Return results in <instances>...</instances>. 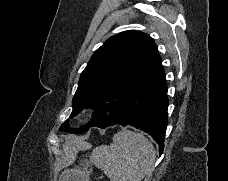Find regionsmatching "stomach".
<instances>
[{
	"mask_svg": "<svg viewBox=\"0 0 228 181\" xmlns=\"http://www.w3.org/2000/svg\"><path fill=\"white\" fill-rule=\"evenodd\" d=\"M78 163L79 167L62 171L59 181H90V175H92V161L81 159Z\"/></svg>",
	"mask_w": 228,
	"mask_h": 181,
	"instance_id": "0dacf381",
	"label": "stomach"
}]
</instances>
